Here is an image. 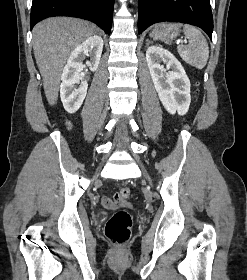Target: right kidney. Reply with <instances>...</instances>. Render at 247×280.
<instances>
[{
	"label": "right kidney",
	"mask_w": 247,
	"mask_h": 280,
	"mask_svg": "<svg viewBox=\"0 0 247 280\" xmlns=\"http://www.w3.org/2000/svg\"><path fill=\"white\" fill-rule=\"evenodd\" d=\"M103 49V40L100 36L94 35L87 38L70 53L67 64L63 69L60 85V97L65 110L69 113H75L82 105L86 94L88 84L82 76L85 68L83 60L90 56L91 60L86 65L91 71L98 68ZM79 84V86H75Z\"/></svg>",
	"instance_id": "ca27d5eb"
}]
</instances>
